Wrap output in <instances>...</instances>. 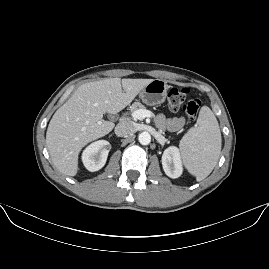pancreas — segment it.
Instances as JSON below:
<instances>
[{"label":"pancreas","instance_id":"pancreas-1","mask_svg":"<svg viewBox=\"0 0 269 269\" xmlns=\"http://www.w3.org/2000/svg\"><path fill=\"white\" fill-rule=\"evenodd\" d=\"M138 109H146V107L143 104H141L140 102H134L130 107L131 112H134Z\"/></svg>","mask_w":269,"mask_h":269}]
</instances>
